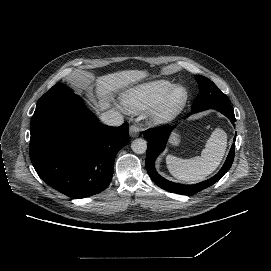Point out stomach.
<instances>
[{"label":"stomach","instance_id":"1","mask_svg":"<svg viewBox=\"0 0 271 271\" xmlns=\"http://www.w3.org/2000/svg\"><path fill=\"white\" fill-rule=\"evenodd\" d=\"M170 143L172 144V145H175V146H177V145H179V143H180V137H179V135L178 134H173L172 136H171V138H170Z\"/></svg>","mask_w":271,"mask_h":271}]
</instances>
